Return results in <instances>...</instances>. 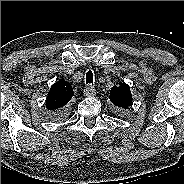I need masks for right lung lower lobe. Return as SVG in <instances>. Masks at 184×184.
<instances>
[{"instance_id":"obj_1","label":"right lung lower lobe","mask_w":184,"mask_h":184,"mask_svg":"<svg viewBox=\"0 0 184 184\" xmlns=\"http://www.w3.org/2000/svg\"><path fill=\"white\" fill-rule=\"evenodd\" d=\"M63 116H64L63 112L60 111L58 113L53 114L52 119L59 120V119L63 118Z\"/></svg>"}]
</instances>
